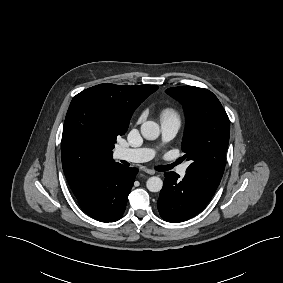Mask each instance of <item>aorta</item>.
<instances>
[{
	"label": "aorta",
	"mask_w": 283,
	"mask_h": 283,
	"mask_svg": "<svg viewBox=\"0 0 283 283\" xmlns=\"http://www.w3.org/2000/svg\"><path fill=\"white\" fill-rule=\"evenodd\" d=\"M141 134L146 140H155L160 135L159 125L154 121H146L141 125ZM162 186L163 181L157 176L150 177L146 182L150 192H159Z\"/></svg>",
	"instance_id": "aorta-1"
}]
</instances>
